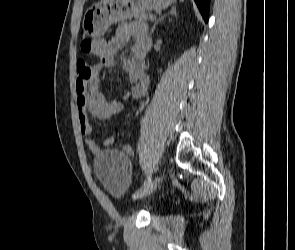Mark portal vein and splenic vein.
I'll return each instance as SVG.
<instances>
[{
	"label": "portal vein and splenic vein",
	"instance_id": "portal-vein-and-splenic-vein-1",
	"mask_svg": "<svg viewBox=\"0 0 295 250\" xmlns=\"http://www.w3.org/2000/svg\"><path fill=\"white\" fill-rule=\"evenodd\" d=\"M149 19H150L151 21H153V20L156 19V16H151Z\"/></svg>",
	"mask_w": 295,
	"mask_h": 250
}]
</instances>
